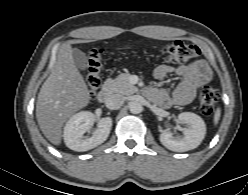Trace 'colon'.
Instances as JSON below:
<instances>
[{
    "label": "colon",
    "mask_w": 248,
    "mask_h": 195,
    "mask_svg": "<svg viewBox=\"0 0 248 195\" xmlns=\"http://www.w3.org/2000/svg\"><path fill=\"white\" fill-rule=\"evenodd\" d=\"M200 53L197 45L175 40L163 46L162 55L165 62L185 63ZM105 51L102 48H95L90 51L85 70V79L91 94H94L101 84V74L105 65ZM218 91L210 86H205L199 93V109L205 116L213 113L218 102Z\"/></svg>",
    "instance_id": "1"
}]
</instances>
